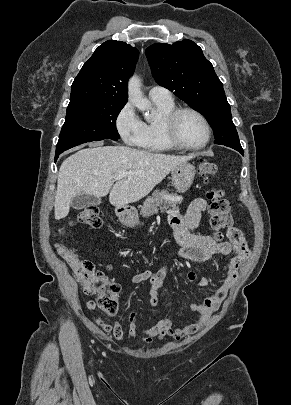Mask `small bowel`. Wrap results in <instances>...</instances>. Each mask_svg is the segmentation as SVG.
<instances>
[{
  "instance_id": "obj_1",
  "label": "small bowel",
  "mask_w": 291,
  "mask_h": 405,
  "mask_svg": "<svg viewBox=\"0 0 291 405\" xmlns=\"http://www.w3.org/2000/svg\"><path fill=\"white\" fill-rule=\"evenodd\" d=\"M207 209V201L204 198H196L189 206L184 216L177 212H170L169 223L175 231L177 241L182 245L180 257L182 259L201 262L210 259L214 254H223L230 257L227 265V271L224 279L217 290L208 296L202 303H191L187 307L198 314V317L190 323L181 327L174 328L173 320L167 316L157 315L153 325L141 330L143 340L151 342L154 337L164 338L171 336L177 340L185 338L200 330L210 319L211 315L219 308L225 299L230 288L235 284L238 278V270L249 255L247 242L240 230L233 226L226 228L227 242H218L211 235H194L190 229L198 227L202 214ZM166 276V268L157 272L145 270L135 274L131 278V284L136 285L146 280L150 281L149 291L150 306L155 309L159 303L158 291L162 287ZM208 285V279L202 278L198 286L205 287ZM87 309L93 311L95 304L87 303ZM138 313L131 311L128 314V334L132 338L138 337L137 321ZM97 324L106 333L112 334L117 340L124 338L122 325L118 321L108 324L99 317H96Z\"/></svg>"
}]
</instances>
